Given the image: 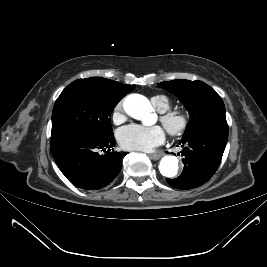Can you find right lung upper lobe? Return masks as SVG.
I'll list each match as a JSON object with an SVG mask.
<instances>
[{"instance_id": "1", "label": "right lung upper lobe", "mask_w": 267, "mask_h": 267, "mask_svg": "<svg viewBox=\"0 0 267 267\" xmlns=\"http://www.w3.org/2000/svg\"><path fill=\"white\" fill-rule=\"evenodd\" d=\"M95 78L106 83V84H109V85H118V86H121L123 88H129V89H131V91L134 89L133 86H135V85H124V84H121V83H118V82H115V81H112L109 79H105V78H99V77H95Z\"/></svg>"}]
</instances>
